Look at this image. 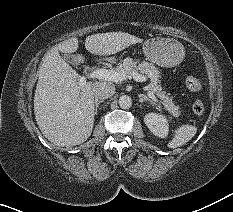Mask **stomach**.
Masks as SVG:
<instances>
[{
  "label": "stomach",
  "mask_w": 233,
  "mask_h": 212,
  "mask_svg": "<svg viewBox=\"0 0 233 212\" xmlns=\"http://www.w3.org/2000/svg\"><path fill=\"white\" fill-rule=\"evenodd\" d=\"M143 53L153 63L174 67L182 62L185 51L182 44L171 38H151L143 44Z\"/></svg>",
  "instance_id": "stomach-1"
}]
</instances>
